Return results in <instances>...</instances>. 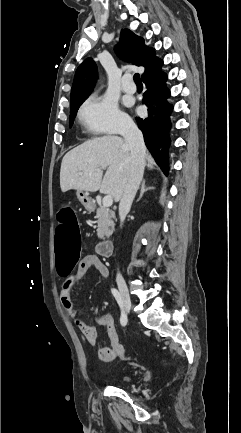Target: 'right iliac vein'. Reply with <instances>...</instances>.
<instances>
[{"instance_id":"obj_1","label":"right iliac vein","mask_w":241,"mask_h":433,"mask_svg":"<svg viewBox=\"0 0 241 433\" xmlns=\"http://www.w3.org/2000/svg\"><path fill=\"white\" fill-rule=\"evenodd\" d=\"M118 288L121 295L122 305L127 313H130L131 310V299L129 295V291L127 285L123 281L118 282Z\"/></svg>"}]
</instances>
